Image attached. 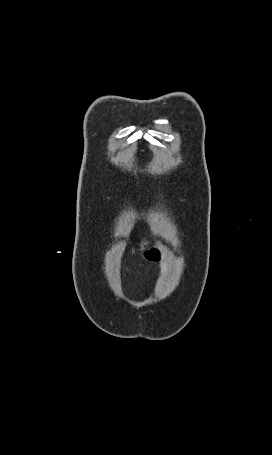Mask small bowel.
Masks as SVG:
<instances>
[{"mask_svg":"<svg viewBox=\"0 0 272 455\" xmlns=\"http://www.w3.org/2000/svg\"><path fill=\"white\" fill-rule=\"evenodd\" d=\"M147 258L153 261L156 258V252L154 250H150L146 252Z\"/></svg>","mask_w":272,"mask_h":455,"instance_id":"obj_1","label":"small bowel"}]
</instances>
